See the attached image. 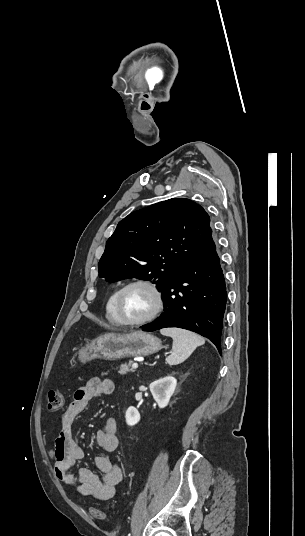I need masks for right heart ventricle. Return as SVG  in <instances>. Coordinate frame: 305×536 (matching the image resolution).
I'll list each match as a JSON object with an SVG mask.
<instances>
[{"label": "right heart ventricle", "mask_w": 305, "mask_h": 536, "mask_svg": "<svg viewBox=\"0 0 305 536\" xmlns=\"http://www.w3.org/2000/svg\"><path fill=\"white\" fill-rule=\"evenodd\" d=\"M120 288H115L109 295L105 304V318L107 322L113 326H119V321L115 315V298Z\"/></svg>", "instance_id": "e07e8e85"}]
</instances>
